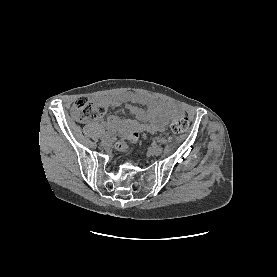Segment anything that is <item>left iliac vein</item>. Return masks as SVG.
<instances>
[{
	"instance_id": "left-iliac-vein-1",
	"label": "left iliac vein",
	"mask_w": 277,
	"mask_h": 277,
	"mask_svg": "<svg viewBox=\"0 0 277 277\" xmlns=\"http://www.w3.org/2000/svg\"><path fill=\"white\" fill-rule=\"evenodd\" d=\"M162 152H163V148L161 146L152 145L150 147V153L153 156H158V155L162 154Z\"/></svg>"
}]
</instances>
